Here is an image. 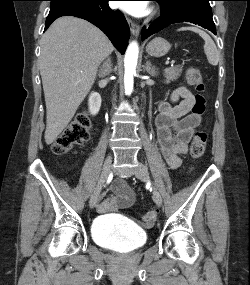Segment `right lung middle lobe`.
Segmentation results:
<instances>
[{"label": "right lung middle lobe", "instance_id": "obj_1", "mask_svg": "<svg viewBox=\"0 0 250 285\" xmlns=\"http://www.w3.org/2000/svg\"><path fill=\"white\" fill-rule=\"evenodd\" d=\"M50 11H55L57 9L73 6V5H82V4H90L95 0H50Z\"/></svg>", "mask_w": 250, "mask_h": 285}]
</instances>
